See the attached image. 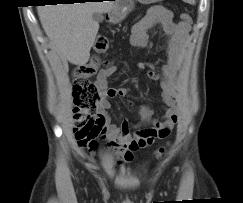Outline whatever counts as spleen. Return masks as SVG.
<instances>
[{"mask_svg":"<svg viewBox=\"0 0 243 203\" xmlns=\"http://www.w3.org/2000/svg\"><path fill=\"white\" fill-rule=\"evenodd\" d=\"M184 1H186V2H188L190 4H195V0H184Z\"/></svg>","mask_w":243,"mask_h":203,"instance_id":"obj_1","label":"spleen"}]
</instances>
